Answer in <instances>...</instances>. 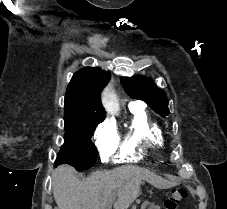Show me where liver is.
<instances>
[{
    "label": "liver",
    "mask_w": 227,
    "mask_h": 209,
    "mask_svg": "<svg viewBox=\"0 0 227 209\" xmlns=\"http://www.w3.org/2000/svg\"><path fill=\"white\" fill-rule=\"evenodd\" d=\"M77 171L70 165H60L52 175V189L58 209H105L107 199L113 189H118L115 209H127L139 193L141 179L150 181L154 173L140 167H118L114 171H100L89 179L79 181ZM123 195H129V201L120 205Z\"/></svg>",
    "instance_id": "liver-1"
}]
</instances>
